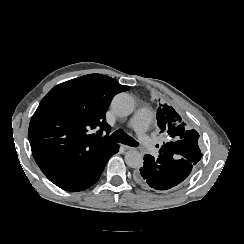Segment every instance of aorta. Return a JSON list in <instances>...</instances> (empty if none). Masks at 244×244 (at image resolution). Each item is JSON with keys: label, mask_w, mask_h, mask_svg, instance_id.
Wrapping results in <instances>:
<instances>
[{"label": "aorta", "mask_w": 244, "mask_h": 244, "mask_svg": "<svg viewBox=\"0 0 244 244\" xmlns=\"http://www.w3.org/2000/svg\"><path fill=\"white\" fill-rule=\"evenodd\" d=\"M111 107L116 115L125 117L134 111L135 102L129 94L120 93L113 98ZM125 162L131 168H140L143 165V156L136 149H130L125 153Z\"/></svg>", "instance_id": "1"}]
</instances>
